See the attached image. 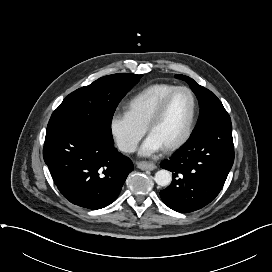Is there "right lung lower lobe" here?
<instances>
[{
  "label": "right lung lower lobe",
  "instance_id": "right-lung-lower-lobe-1",
  "mask_svg": "<svg viewBox=\"0 0 272 272\" xmlns=\"http://www.w3.org/2000/svg\"><path fill=\"white\" fill-rule=\"evenodd\" d=\"M43 157L63 196L88 209L111 204L133 170L132 161L117 151L113 140L87 127L46 135Z\"/></svg>",
  "mask_w": 272,
  "mask_h": 272
}]
</instances>
